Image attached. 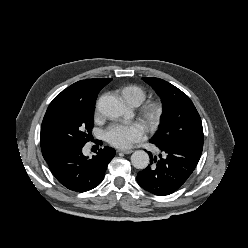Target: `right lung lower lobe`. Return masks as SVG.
Segmentation results:
<instances>
[{"label":"right lung lower lobe","instance_id":"right-lung-lower-lobe-1","mask_svg":"<svg viewBox=\"0 0 248 248\" xmlns=\"http://www.w3.org/2000/svg\"><path fill=\"white\" fill-rule=\"evenodd\" d=\"M84 145L85 143H77L63 147L46 159L55 178L63 186L76 192L89 191L98 186L116 154L113 148L106 146L89 159L82 153Z\"/></svg>","mask_w":248,"mask_h":248}]
</instances>
